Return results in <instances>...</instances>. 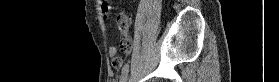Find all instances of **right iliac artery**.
I'll return each mask as SVG.
<instances>
[{
    "mask_svg": "<svg viewBox=\"0 0 279 82\" xmlns=\"http://www.w3.org/2000/svg\"><path fill=\"white\" fill-rule=\"evenodd\" d=\"M129 72V64H125L122 68L120 82H125Z\"/></svg>",
    "mask_w": 279,
    "mask_h": 82,
    "instance_id": "1",
    "label": "right iliac artery"
}]
</instances>
